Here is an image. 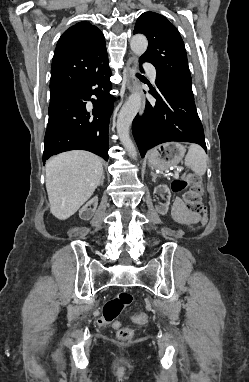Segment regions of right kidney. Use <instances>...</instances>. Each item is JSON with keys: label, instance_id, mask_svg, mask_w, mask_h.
<instances>
[{"label": "right kidney", "instance_id": "obj_1", "mask_svg": "<svg viewBox=\"0 0 249 382\" xmlns=\"http://www.w3.org/2000/svg\"><path fill=\"white\" fill-rule=\"evenodd\" d=\"M93 205L94 208L90 206ZM98 205V197H93L85 206L79 211V217L83 220H90L94 214V211ZM90 207V208H89Z\"/></svg>", "mask_w": 249, "mask_h": 382}]
</instances>
